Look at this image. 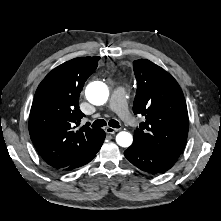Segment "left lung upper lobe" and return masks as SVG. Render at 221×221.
Segmentation results:
<instances>
[{
	"mask_svg": "<svg viewBox=\"0 0 221 221\" xmlns=\"http://www.w3.org/2000/svg\"><path fill=\"white\" fill-rule=\"evenodd\" d=\"M133 68L137 79L133 112L146 119L134 131V141L176 162L189 129L183 92L168 72L149 60H136Z\"/></svg>",
	"mask_w": 221,
	"mask_h": 221,
	"instance_id": "1",
	"label": "left lung upper lobe"
}]
</instances>
